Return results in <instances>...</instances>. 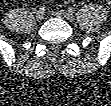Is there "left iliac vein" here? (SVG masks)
I'll use <instances>...</instances> for the list:
<instances>
[{
	"mask_svg": "<svg viewBox=\"0 0 111 106\" xmlns=\"http://www.w3.org/2000/svg\"><path fill=\"white\" fill-rule=\"evenodd\" d=\"M55 15H57L59 17L66 18L69 21L74 20V15L70 12H67V11H60V12L55 13Z\"/></svg>",
	"mask_w": 111,
	"mask_h": 106,
	"instance_id": "left-iliac-vein-1",
	"label": "left iliac vein"
}]
</instances>
